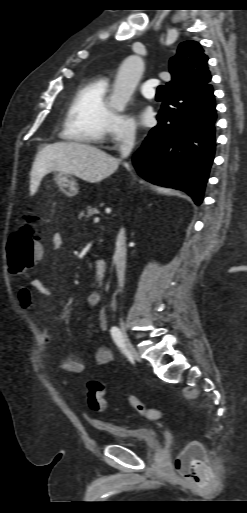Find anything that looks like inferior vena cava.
Wrapping results in <instances>:
<instances>
[{
	"label": "inferior vena cava",
	"mask_w": 247,
	"mask_h": 513,
	"mask_svg": "<svg viewBox=\"0 0 247 513\" xmlns=\"http://www.w3.org/2000/svg\"><path fill=\"white\" fill-rule=\"evenodd\" d=\"M135 144V129L133 127H127L122 134L121 144H120V154L121 158H127ZM114 261L116 264L117 278L118 284L121 288L124 286V273H125V263H126V245H125V235L124 230L121 229L117 241H116V249L114 254Z\"/></svg>",
	"instance_id": "1"
}]
</instances>
